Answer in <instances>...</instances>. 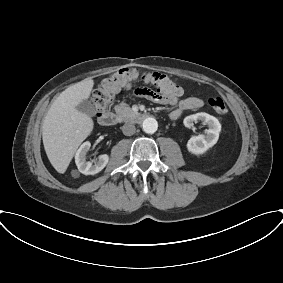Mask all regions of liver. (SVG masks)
Segmentation results:
<instances>
[{
  "instance_id": "liver-1",
  "label": "liver",
  "mask_w": 283,
  "mask_h": 283,
  "mask_svg": "<svg viewBox=\"0 0 283 283\" xmlns=\"http://www.w3.org/2000/svg\"><path fill=\"white\" fill-rule=\"evenodd\" d=\"M94 86L86 78L64 90L53 102L42 125L47 157L58 173H65L77 148L93 130V120L77 110L90 97Z\"/></svg>"
}]
</instances>
